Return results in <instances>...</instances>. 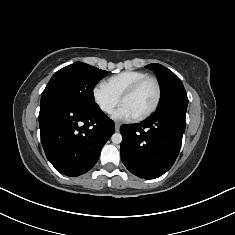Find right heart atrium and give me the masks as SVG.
<instances>
[{
  "mask_svg": "<svg viewBox=\"0 0 235 235\" xmlns=\"http://www.w3.org/2000/svg\"><path fill=\"white\" fill-rule=\"evenodd\" d=\"M92 95L99 109L110 114L120 102V97L114 94L104 82L97 83L92 90Z\"/></svg>",
  "mask_w": 235,
  "mask_h": 235,
  "instance_id": "1",
  "label": "right heart atrium"
}]
</instances>
